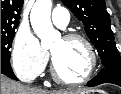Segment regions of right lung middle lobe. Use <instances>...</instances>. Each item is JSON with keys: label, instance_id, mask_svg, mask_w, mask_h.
Instances as JSON below:
<instances>
[{"label": "right lung middle lobe", "instance_id": "dd1d6c3e", "mask_svg": "<svg viewBox=\"0 0 121 94\" xmlns=\"http://www.w3.org/2000/svg\"><path fill=\"white\" fill-rule=\"evenodd\" d=\"M15 31L9 33H1V65H10L9 49L11 48Z\"/></svg>", "mask_w": 121, "mask_h": 94}]
</instances>
